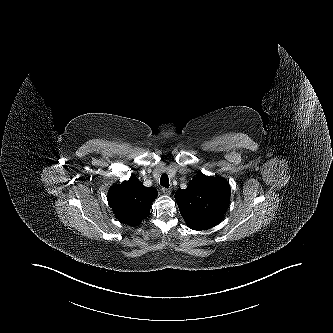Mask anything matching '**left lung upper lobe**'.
<instances>
[{
	"label": "left lung upper lobe",
	"instance_id": "5c2ea615",
	"mask_svg": "<svg viewBox=\"0 0 333 333\" xmlns=\"http://www.w3.org/2000/svg\"><path fill=\"white\" fill-rule=\"evenodd\" d=\"M230 194V185L225 179L199 172L186 189L177 190L175 199L188 227L200 231L221 221Z\"/></svg>",
	"mask_w": 333,
	"mask_h": 333
}]
</instances>
